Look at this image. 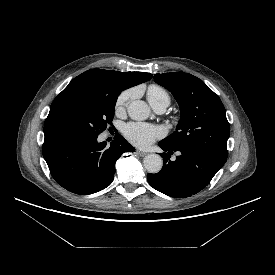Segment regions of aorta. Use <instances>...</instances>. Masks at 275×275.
Listing matches in <instances>:
<instances>
[{
  "label": "aorta",
  "mask_w": 275,
  "mask_h": 275,
  "mask_svg": "<svg viewBox=\"0 0 275 275\" xmlns=\"http://www.w3.org/2000/svg\"><path fill=\"white\" fill-rule=\"evenodd\" d=\"M128 115L136 121L145 120L150 115L149 106L142 100H135L128 106ZM144 167L149 173H158L163 166V160L158 154H149L144 160Z\"/></svg>",
  "instance_id": "obj_1"
}]
</instances>
